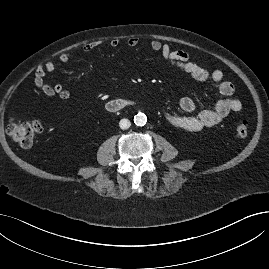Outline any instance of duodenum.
Segmentation results:
<instances>
[{"label": "duodenum", "instance_id": "duodenum-1", "mask_svg": "<svg viewBox=\"0 0 269 269\" xmlns=\"http://www.w3.org/2000/svg\"><path fill=\"white\" fill-rule=\"evenodd\" d=\"M132 105V102L127 99H115L106 103V110L111 113L118 112Z\"/></svg>", "mask_w": 269, "mask_h": 269}]
</instances>
